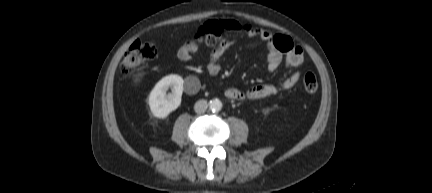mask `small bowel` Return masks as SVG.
I'll return each instance as SVG.
<instances>
[{
  "mask_svg": "<svg viewBox=\"0 0 432 193\" xmlns=\"http://www.w3.org/2000/svg\"><path fill=\"white\" fill-rule=\"evenodd\" d=\"M209 25H217L223 31L245 33L249 37H256L265 42L267 48V67L271 72L277 70L283 61L287 67H298L303 63L304 56L302 48L295 45L291 38L285 35L273 34L266 29L255 27L250 23L231 19L210 21L204 26ZM204 26L199 29L198 34L202 31ZM196 50V44L193 41H188L177 48L176 56L180 61L187 62L193 58ZM222 52L223 49L221 48L212 52L206 65V70L209 75L216 76L221 72L222 67L219 60ZM299 78L300 73L294 72L289 77L280 80L276 84H257L245 92L230 86L225 90V95L237 101L263 99L292 88L299 81ZM199 88L200 83L197 78L188 77L186 79L185 91L187 94H195L198 92Z\"/></svg>",
  "mask_w": 432,
  "mask_h": 193,
  "instance_id": "obj_1",
  "label": "small bowel"
}]
</instances>
